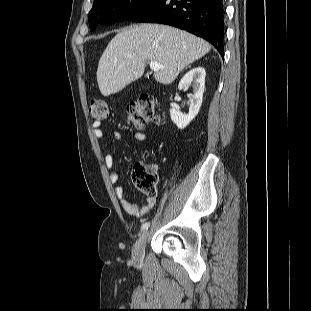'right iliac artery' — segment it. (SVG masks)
Instances as JSON below:
<instances>
[{
	"instance_id": "right-iliac-artery-1",
	"label": "right iliac artery",
	"mask_w": 311,
	"mask_h": 311,
	"mask_svg": "<svg viewBox=\"0 0 311 311\" xmlns=\"http://www.w3.org/2000/svg\"><path fill=\"white\" fill-rule=\"evenodd\" d=\"M149 226H150L149 222L143 223L142 226H141V232L147 230Z\"/></svg>"
}]
</instances>
